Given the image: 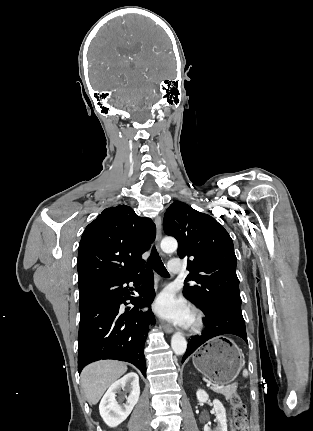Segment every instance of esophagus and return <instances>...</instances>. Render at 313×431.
Instances as JSON below:
<instances>
[{
  "label": "esophagus",
  "instance_id": "esophagus-1",
  "mask_svg": "<svg viewBox=\"0 0 313 431\" xmlns=\"http://www.w3.org/2000/svg\"><path fill=\"white\" fill-rule=\"evenodd\" d=\"M155 225H156V246L159 249V243H160V240H161V237H162L161 218L159 216H157L155 218ZM161 327L168 334H170V333L173 332V327L170 324H168V323H166L164 321L161 322Z\"/></svg>",
  "mask_w": 313,
  "mask_h": 431
}]
</instances>
